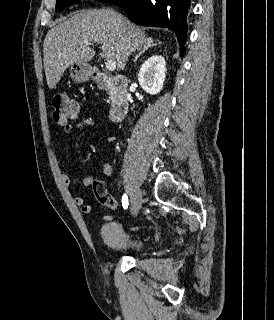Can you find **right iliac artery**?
<instances>
[{
    "mask_svg": "<svg viewBox=\"0 0 274 320\" xmlns=\"http://www.w3.org/2000/svg\"><path fill=\"white\" fill-rule=\"evenodd\" d=\"M129 205L128 197L126 194L122 196V206L124 209H127Z\"/></svg>",
    "mask_w": 274,
    "mask_h": 320,
    "instance_id": "1",
    "label": "right iliac artery"
}]
</instances>
